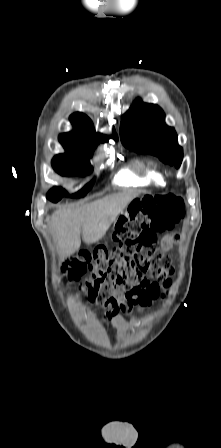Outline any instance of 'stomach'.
<instances>
[{
    "label": "stomach",
    "mask_w": 221,
    "mask_h": 448,
    "mask_svg": "<svg viewBox=\"0 0 221 448\" xmlns=\"http://www.w3.org/2000/svg\"><path fill=\"white\" fill-rule=\"evenodd\" d=\"M127 208H128V209H130V208H131V203H129V205L127 206ZM128 211H129V210H128Z\"/></svg>",
    "instance_id": "1"
}]
</instances>
